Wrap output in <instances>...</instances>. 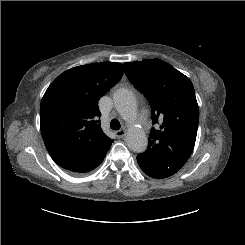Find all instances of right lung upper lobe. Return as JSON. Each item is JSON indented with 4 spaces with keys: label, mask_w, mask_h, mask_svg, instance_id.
<instances>
[{
    "label": "right lung upper lobe",
    "mask_w": 245,
    "mask_h": 245,
    "mask_svg": "<svg viewBox=\"0 0 245 245\" xmlns=\"http://www.w3.org/2000/svg\"><path fill=\"white\" fill-rule=\"evenodd\" d=\"M122 75L120 63H94L69 69L50 84L41 101L40 128L59 166L76 172L112 144L98 120V100Z\"/></svg>",
    "instance_id": "1"
}]
</instances>
